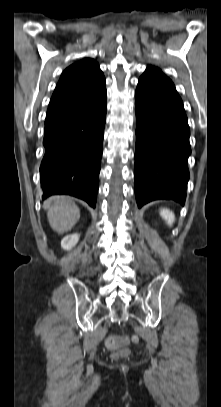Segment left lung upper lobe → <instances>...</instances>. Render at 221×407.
<instances>
[{"instance_id": "obj_1", "label": "left lung upper lobe", "mask_w": 221, "mask_h": 407, "mask_svg": "<svg viewBox=\"0 0 221 407\" xmlns=\"http://www.w3.org/2000/svg\"><path fill=\"white\" fill-rule=\"evenodd\" d=\"M157 77H161V78H167L161 70L152 67V66H148V68L146 69V71L144 72V74L140 77V78H157Z\"/></svg>"}]
</instances>
